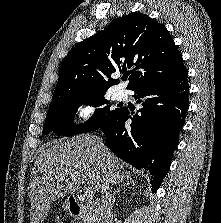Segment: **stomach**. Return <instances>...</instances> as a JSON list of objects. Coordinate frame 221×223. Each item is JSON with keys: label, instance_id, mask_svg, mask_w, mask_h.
Wrapping results in <instances>:
<instances>
[{"label": "stomach", "instance_id": "stomach-1", "mask_svg": "<svg viewBox=\"0 0 221 223\" xmlns=\"http://www.w3.org/2000/svg\"><path fill=\"white\" fill-rule=\"evenodd\" d=\"M63 207H64L65 210H69L68 202H65L64 205H63Z\"/></svg>", "mask_w": 221, "mask_h": 223}]
</instances>
